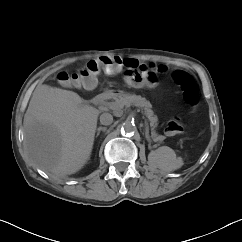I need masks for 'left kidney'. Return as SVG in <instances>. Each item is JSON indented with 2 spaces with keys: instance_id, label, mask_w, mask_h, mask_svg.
Returning a JSON list of instances; mask_svg holds the SVG:
<instances>
[{
  "instance_id": "5707ae66",
  "label": "left kidney",
  "mask_w": 242,
  "mask_h": 242,
  "mask_svg": "<svg viewBox=\"0 0 242 242\" xmlns=\"http://www.w3.org/2000/svg\"><path fill=\"white\" fill-rule=\"evenodd\" d=\"M181 165H182V162H179V163H178V167L181 166Z\"/></svg>"
}]
</instances>
